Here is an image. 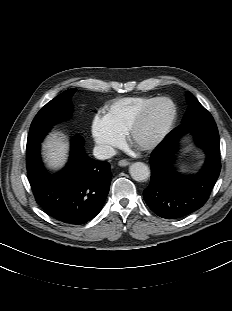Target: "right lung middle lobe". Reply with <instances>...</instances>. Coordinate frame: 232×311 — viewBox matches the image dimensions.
Returning a JSON list of instances; mask_svg holds the SVG:
<instances>
[{"label":"right lung middle lobe","mask_w":232,"mask_h":311,"mask_svg":"<svg viewBox=\"0 0 232 311\" xmlns=\"http://www.w3.org/2000/svg\"><path fill=\"white\" fill-rule=\"evenodd\" d=\"M75 92V88L68 89L48 102L35 116L30 132L51 127L68 118L72 113L71 97Z\"/></svg>","instance_id":"right-lung-middle-lobe-1"}]
</instances>
